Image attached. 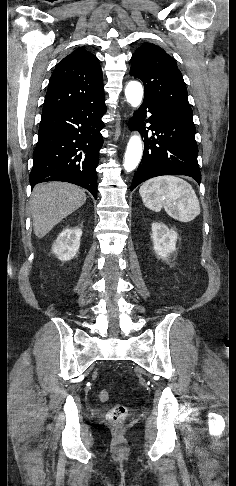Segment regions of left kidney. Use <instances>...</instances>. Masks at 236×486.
Segmentation results:
<instances>
[{"label": "left kidney", "mask_w": 236, "mask_h": 486, "mask_svg": "<svg viewBox=\"0 0 236 486\" xmlns=\"http://www.w3.org/2000/svg\"><path fill=\"white\" fill-rule=\"evenodd\" d=\"M151 238L156 254L162 259H167L176 250L178 234L163 223H152Z\"/></svg>", "instance_id": "5707ae66"}]
</instances>
